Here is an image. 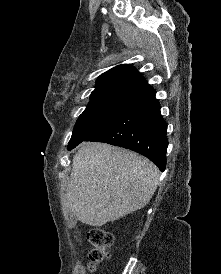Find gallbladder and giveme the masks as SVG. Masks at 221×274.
Listing matches in <instances>:
<instances>
[{
  "instance_id": "obj_1",
  "label": "gallbladder",
  "mask_w": 221,
  "mask_h": 274,
  "mask_svg": "<svg viewBox=\"0 0 221 274\" xmlns=\"http://www.w3.org/2000/svg\"><path fill=\"white\" fill-rule=\"evenodd\" d=\"M71 221L75 223L77 222V217L74 214L71 215Z\"/></svg>"
}]
</instances>
